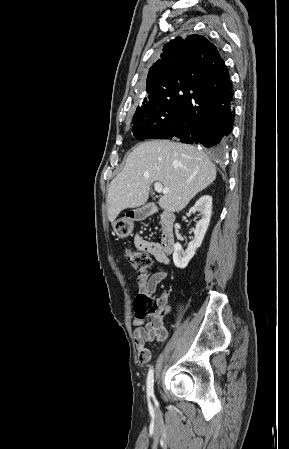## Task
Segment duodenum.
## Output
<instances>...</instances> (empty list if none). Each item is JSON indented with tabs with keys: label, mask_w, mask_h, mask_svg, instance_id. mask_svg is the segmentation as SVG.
Returning a JSON list of instances; mask_svg holds the SVG:
<instances>
[{
	"label": "duodenum",
	"mask_w": 289,
	"mask_h": 449,
	"mask_svg": "<svg viewBox=\"0 0 289 449\" xmlns=\"http://www.w3.org/2000/svg\"><path fill=\"white\" fill-rule=\"evenodd\" d=\"M144 212L148 215H151L157 212V208L154 206H150L147 207ZM160 219H161L160 246L164 253L169 254L172 252L175 244V237H174L175 215L171 211L163 210L160 213Z\"/></svg>",
	"instance_id": "410a0bca"
}]
</instances>
